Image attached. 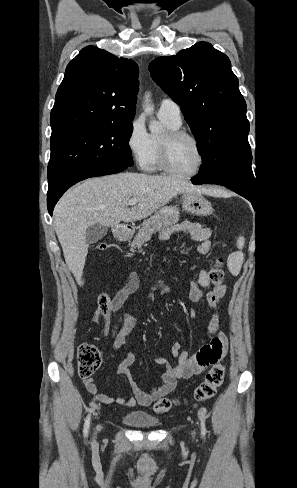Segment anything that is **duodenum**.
Returning <instances> with one entry per match:
<instances>
[{
    "instance_id": "1",
    "label": "duodenum",
    "mask_w": 297,
    "mask_h": 488,
    "mask_svg": "<svg viewBox=\"0 0 297 488\" xmlns=\"http://www.w3.org/2000/svg\"><path fill=\"white\" fill-rule=\"evenodd\" d=\"M114 235L120 241H125L130 238L131 230L125 225H117L114 227Z\"/></svg>"
}]
</instances>
